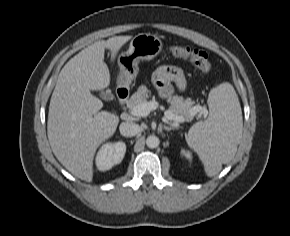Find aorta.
I'll use <instances>...</instances> for the list:
<instances>
[{
  "mask_svg": "<svg viewBox=\"0 0 290 236\" xmlns=\"http://www.w3.org/2000/svg\"><path fill=\"white\" fill-rule=\"evenodd\" d=\"M160 144V140L157 136L155 135H150L147 137L146 139V145L149 147V148H157Z\"/></svg>",
  "mask_w": 290,
  "mask_h": 236,
  "instance_id": "762f6f07",
  "label": "aorta"
}]
</instances>
